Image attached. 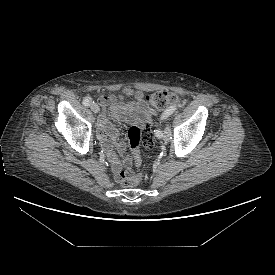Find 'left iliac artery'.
Returning <instances> with one entry per match:
<instances>
[{"mask_svg": "<svg viewBox=\"0 0 275 275\" xmlns=\"http://www.w3.org/2000/svg\"><path fill=\"white\" fill-rule=\"evenodd\" d=\"M176 109H177V106H176V105H173V106H170L169 108H167V109L163 112V114H162V116H161L160 122H163V120H165V119H167L169 116H171V115L176 111ZM155 135H156V137H158V138H162L163 132H162L160 129H157V130H155Z\"/></svg>", "mask_w": 275, "mask_h": 275, "instance_id": "1", "label": "left iliac artery"}]
</instances>
